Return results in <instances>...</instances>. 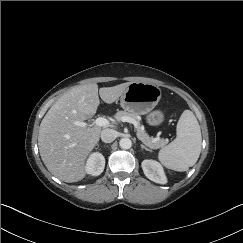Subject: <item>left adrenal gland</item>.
<instances>
[{
  "label": "left adrenal gland",
  "mask_w": 243,
  "mask_h": 243,
  "mask_svg": "<svg viewBox=\"0 0 243 243\" xmlns=\"http://www.w3.org/2000/svg\"><path fill=\"white\" fill-rule=\"evenodd\" d=\"M140 147H141V149H142V150H146V151L151 152V150H150V149H148L147 147H145V146H144V145H142V144L140 145Z\"/></svg>",
  "instance_id": "left-adrenal-gland-1"
}]
</instances>
